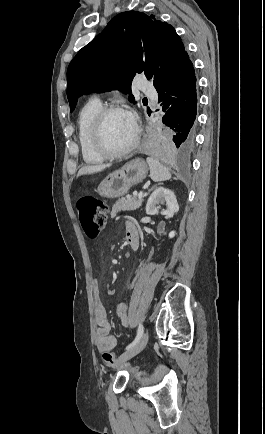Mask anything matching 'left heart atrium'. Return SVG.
Masks as SVG:
<instances>
[{
  "label": "left heart atrium",
  "mask_w": 265,
  "mask_h": 434,
  "mask_svg": "<svg viewBox=\"0 0 265 434\" xmlns=\"http://www.w3.org/2000/svg\"><path fill=\"white\" fill-rule=\"evenodd\" d=\"M124 115L126 116L127 121L129 122V124L135 129L137 130V125H136V121L134 119L133 114L130 111H126L124 112Z\"/></svg>",
  "instance_id": "obj_1"
}]
</instances>
